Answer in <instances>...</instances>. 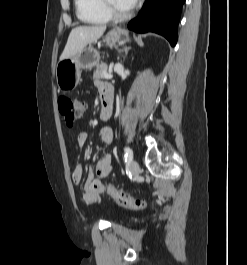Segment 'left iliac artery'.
Segmentation results:
<instances>
[{
  "instance_id": "44dca946",
  "label": "left iliac artery",
  "mask_w": 247,
  "mask_h": 265,
  "mask_svg": "<svg viewBox=\"0 0 247 265\" xmlns=\"http://www.w3.org/2000/svg\"><path fill=\"white\" fill-rule=\"evenodd\" d=\"M124 153H125V155H124L125 162L126 163H130L131 160H132V158H133V152H132V150L129 147H125L124 148Z\"/></svg>"
}]
</instances>
